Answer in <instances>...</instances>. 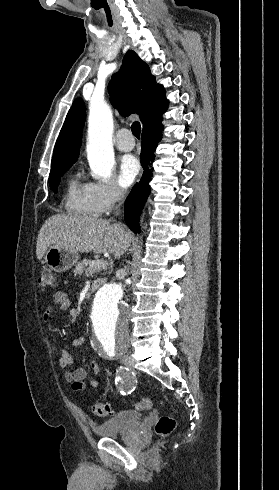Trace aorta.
Wrapping results in <instances>:
<instances>
[{
  "mask_svg": "<svg viewBox=\"0 0 279 490\" xmlns=\"http://www.w3.org/2000/svg\"><path fill=\"white\" fill-rule=\"evenodd\" d=\"M113 117L109 106L95 103L88 119L87 158L97 178L107 180L115 164L112 145ZM120 284H104L95 293L91 307V332L96 347L114 349L128 341V312Z\"/></svg>",
  "mask_w": 279,
  "mask_h": 490,
  "instance_id": "1",
  "label": "aorta"
}]
</instances>
